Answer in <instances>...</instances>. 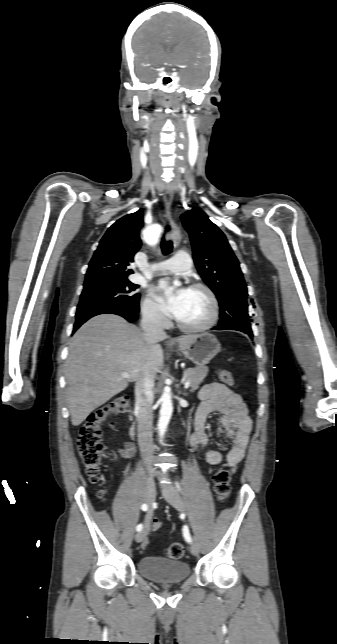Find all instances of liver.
Returning a JSON list of instances; mask_svg holds the SVG:
<instances>
[{"label": "liver", "instance_id": "6515ba94", "mask_svg": "<svg viewBox=\"0 0 337 644\" xmlns=\"http://www.w3.org/2000/svg\"><path fill=\"white\" fill-rule=\"evenodd\" d=\"M197 335L175 339L180 346L195 341ZM148 343L143 332L124 318L98 315L83 324L70 340L65 364L66 400L73 426L112 397L150 374L160 371L163 355L157 344ZM128 373L129 378L121 376Z\"/></svg>", "mask_w": 337, "mask_h": 644}]
</instances>
